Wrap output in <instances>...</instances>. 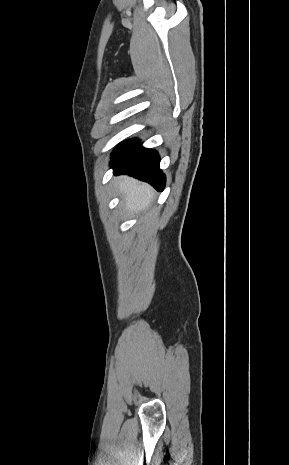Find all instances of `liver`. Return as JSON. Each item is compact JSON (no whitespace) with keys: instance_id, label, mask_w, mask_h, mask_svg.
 <instances>
[{"instance_id":"1","label":"liver","mask_w":289,"mask_h":465,"mask_svg":"<svg viewBox=\"0 0 289 465\" xmlns=\"http://www.w3.org/2000/svg\"><path fill=\"white\" fill-rule=\"evenodd\" d=\"M118 186L125 199V208L129 212H145L151 207L154 200V190L148 184L129 177H120Z\"/></svg>"}]
</instances>
